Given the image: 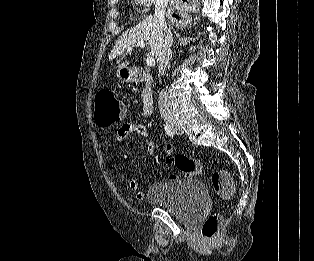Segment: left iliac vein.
I'll use <instances>...</instances> for the list:
<instances>
[{
  "label": "left iliac vein",
  "mask_w": 314,
  "mask_h": 261,
  "mask_svg": "<svg viewBox=\"0 0 314 261\" xmlns=\"http://www.w3.org/2000/svg\"><path fill=\"white\" fill-rule=\"evenodd\" d=\"M172 129H173L174 133H176L178 135H181L183 133L182 128L177 124L172 125Z\"/></svg>",
  "instance_id": "4c4485c4"
}]
</instances>
